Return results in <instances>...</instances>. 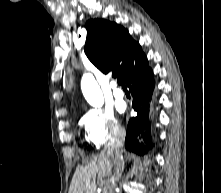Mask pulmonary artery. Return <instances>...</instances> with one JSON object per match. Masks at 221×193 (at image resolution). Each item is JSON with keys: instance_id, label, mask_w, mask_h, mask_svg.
Wrapping results in <instances>:
<instances>
[{"instance_id": "obj_1", "label": "pulmonary artery", "mask_w": 221, "mask_h": 193, "mask_svg": "<svg viewBox=\"0 0 221 193\" xmlns=\"http://www.w3.org/2000/svg\"><path fill=\"white\" fill-rule=\"evenodd\" d=\"M111 87H112V92H113V95L116 97V98H123L124 97V92L121 88L117 87V84L115 82H112L111 83Z\"/></svg>"}]
</instances>
